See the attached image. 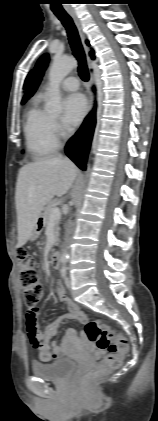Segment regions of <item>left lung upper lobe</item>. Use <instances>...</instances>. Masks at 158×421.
I'll use <instances>...</instances> for the list:
<instances>
[{"instance_id": "obj_1", "label": "left lung upper lobe", "mask_w": 158, "mask_h": 421, "mask_svg": "<svg viewBox=\"0 0 158 421\" xmlns=\"http://www.w3.org/2000/svg\"><path fill=\"white\" fill-rule=\"evenodd\" d=\"M48 61H49L48 54L42 55L40 57V59L38 60L36 66H35L34 74L32 76L31 82L29 84L27 93H26L25 97L23 98L22 104L35 93V91H36V89H37V87H38V85H39V83L42 79L44 71H45V69L48 65Z\"/></svg>"}]
</instances>
